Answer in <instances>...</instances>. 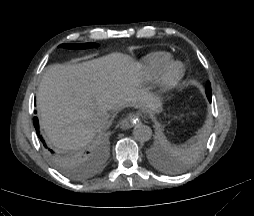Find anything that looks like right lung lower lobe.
<instances>
[{
  "label": "right lung lower lobe",
  "mask_w": 254,
  "mask_h": 216,
  "mask_svg": "<svg viewBox=\"0 0 254 216\" xmlns=\"http://www.w3.org/2000/svg\"><path fill=\"white\" fill-rule=\"evenodd\" d=\"M33 122H34L35 129H36V131H37V134L39 135V138H40L41 141L43 142V139H42V137H41L40 134H39L38 118H37V117H34V118H33ZM44 146L46 147V145H44ZM49 151L51 152V154H54L50 149H49Z\"/></svg>",
  "instance_id": "1"
}]
</instances>
